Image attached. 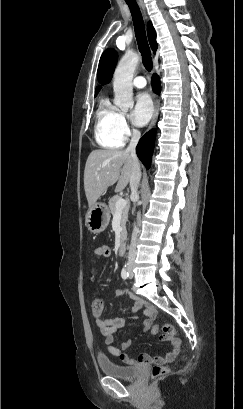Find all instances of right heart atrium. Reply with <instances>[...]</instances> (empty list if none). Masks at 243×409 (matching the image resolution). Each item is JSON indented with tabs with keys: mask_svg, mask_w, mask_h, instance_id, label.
I'll return each instance as SVG.
<instances>
[{
	"mask_svg": "<svg viewBox=\"0 0 243 409\" xmlns=\"http://www.w3.org/2000/svg\"><path fill=\"white\" fill-rule=\"evenodd\" d=\"M115 127L117 133L123 139L128 138L134 133V129L129 124L127 116L122 112H119L117 115Z\"/></svg>",
	"mask_w": 243,
	"mask_h": 409,
	"instance_id": "obj_1",
	"label": "right heart atrium"
}]
</instances>
